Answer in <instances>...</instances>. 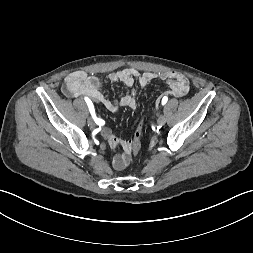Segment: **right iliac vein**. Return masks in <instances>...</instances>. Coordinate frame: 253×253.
<instances>
[{
  "instance_id": "1",
  "label": "right iliac vein",
  "mask_w": 253,
  "mask_h": 253,
  "mask_svg": "<svg viewBox=\"0 0 253 253\" xmlns=\"http://www.w3.org/2000/svg\"><path fill=\"white\" fill-rule=\"evenodd\" d=\"M88 125H89L91 128H94V127L96 126L95 121H94L92 118H89V119H88Z\"/></svg>"
}]
</instances>
